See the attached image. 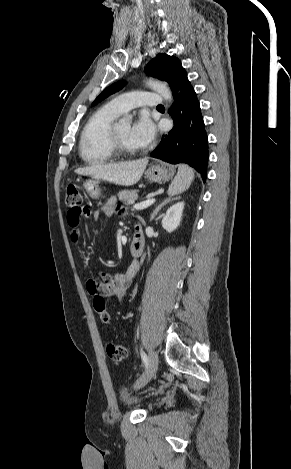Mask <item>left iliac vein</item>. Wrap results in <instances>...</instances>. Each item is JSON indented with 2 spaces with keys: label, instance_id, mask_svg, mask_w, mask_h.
Segmentation results:
<instances>
[{
  "label": "left iliac vein",
  "instance_id": "4c4485c4",
  "mask_svg": "<svg viewBox=\"0 0 291 469\" xmlns=\"http://www.w3.org/2000/svg\"><path fill=\"white\" fill-rule=\"evenodd\" d=\"M158 369V356L154 351L149 352V359L145 373L136 381L135 387L141 388L145 386L155 375Z\"/></svg>",
  "mask_w": 291,
  "mask_h": 469
}]
</instances>
